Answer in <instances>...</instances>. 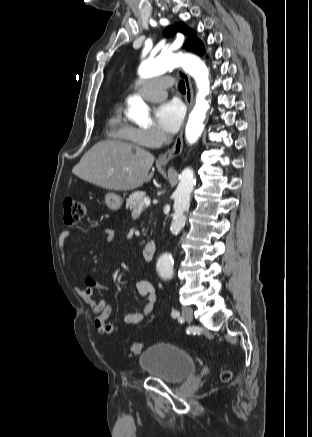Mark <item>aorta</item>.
Returning <instances> with one entry per match:
<instances>
[{
    "mask_svg": "<svg viewBox=\"0 0 312 437\" xmlns=\"http://www.w3.org/2000/svg\"><path fill=\"white\" fill-rule=\"evenodd\" d=\"M181 66L195 80L198 93L196 103L189 115L185 129V137L189 144L195 143L204 129L206 112L209 102L205 99L210 91L209 71L198 57L189 54L161 53L153 60L143 61L139 67L142 79L151 78L165 73L167 70ZM128 117L139 124L150 122L147 104L138 96L128 101ZM194 187L193 170L186 168L182 171L180 182L174 193V215L170 231L173 235L180 233L186 222V212L189 208L190 196ZM157 270L161 276H169L174 271V261L169 253L163 254L157 262Z\"/></svg>",
    "mask_w": 312,
    "mask_h": 437,
    "instance_id": "aorta-1",
    "label": "aorta"
}]
</instances>
